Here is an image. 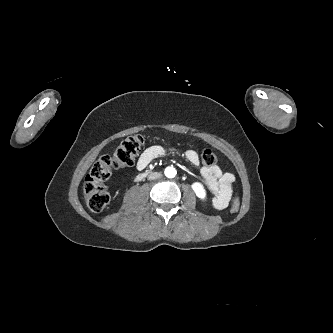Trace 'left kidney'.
Returning a JSON list of instances; mask_svg holds the SVG:
<instances>
[{"label": "left kidney", "mask_w": 333, "mask_h": 333, "mask_svg": "<svg viewBox=\"0 0 333 333\" xmlns=\"http://www.w3.org/2000/svg\"><path fill=\"white\" fill-rule=\"evenodd\" d=\"M192 189L194 190L197 197H199L200 199H205L206 191L201 183L199 182L193 183Z\"/></svg>", "instance_id": "1"}]
</instances>
